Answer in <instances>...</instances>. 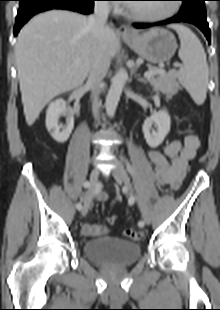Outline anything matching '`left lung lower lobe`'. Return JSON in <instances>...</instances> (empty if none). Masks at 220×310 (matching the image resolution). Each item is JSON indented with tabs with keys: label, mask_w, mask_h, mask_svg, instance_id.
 <instances>
[{
	"label": "left lung lower lobe",
	"mask_w": 220,
	"mask_h": 310,
	"mask_svg": "<svg viewBox=\"0 0 220 310\" xmlns=\"http://www.w3.org/2000/svg\"><path fill=\"white\" fill-rule=\"evenodd\" d=\"M179 22L191 23L197 26L204 33V35L206 36L210 44L211 32L208 27L206 16H203V15H198V14L183 15L181 13H178L172 18L158 22V23H136L134 24V26L136 28H148V27L155 26V25H165V24L179 23Z\"/></svg>",
	"instance_id": "1"
}]
</instances>
